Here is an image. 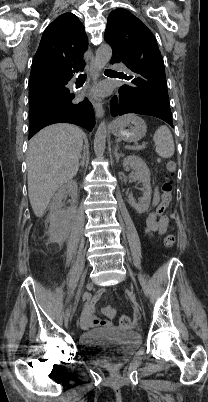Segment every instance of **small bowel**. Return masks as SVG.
Listing matches in <instances>:
<instances>
[{
  "label": "small bowel",
  "mask_w": 208,
  "mask_h": 402,
  "mask_svg": "<svg viewBox=\"0 0 208 402\" xmlns=\"http://www.w3.org/2000/svg\"><path fill=\"white\" fill-rule=\"evenodd\" d=\"M159 200V192L158 189L155 190V196H154V203H157ZM171 228L170 222L168 215H163L159 219L157 218V214L155 212L149 213L146 222H145V231L147 234L150 236L153 235H162L164 234L168 229ZM103 298L102 292L100 290H97L93 294V301H91L85 308L84 310V317L85 320L87 321H81L79 324V327L81 330H88L90 327V324H95V325H105L106 327H109L108 321L113 319L115 312L111 307H106L104 309V319H96L93 317L94 313V304L95 301H100ZM90 323V324H89ZM64 327L66 329H69L71 327V324L69 322H66L64 324Z\"/></svg>",
  "instance_id": "small-bowel-1"
}]
</instances>
